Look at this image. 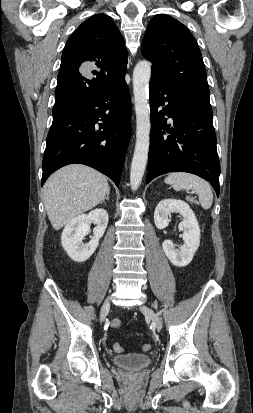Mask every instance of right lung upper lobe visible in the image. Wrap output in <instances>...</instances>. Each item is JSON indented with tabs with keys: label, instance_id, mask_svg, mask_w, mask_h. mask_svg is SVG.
I'll return each instance as SVG.
<instances>
[{
	"label": "right lung upper lobe",
	"instance_id": "cb5924a9",
	"mask_svg": "<svg viewBox=\"0 0 253 413\" xmlns=\"http://www.w3.org/2000/svg\"><path fill=\"white\" fill-rule=\"evenodd\" d=\"M85 62H92V78L83 76ZM127 50L114 21L97 14L83 22L69 37L62 53L55 90L53 116L102 94L125 79Z\"/></svg>",
	"mask_w": 253,
	"mask_h": 413
}]
</instances>
